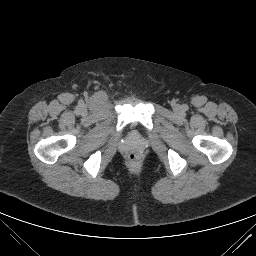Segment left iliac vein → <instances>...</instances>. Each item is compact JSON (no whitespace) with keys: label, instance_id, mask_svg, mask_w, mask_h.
<instances>
[{"label":"left iliac vein","instance_id":"obj_1","mask_svg":"<svg viewBox=\"0 0 256 256\" xmlns=\"http://www.w3.org/2000/svg\"><path fill=\"white\" fill-rule=\"evenodd\" d=\"M174 110H175V111H179V110H180V106L174 105Z\"/></svg>","mask_w":256,"mask_h":256}]
</instances>
